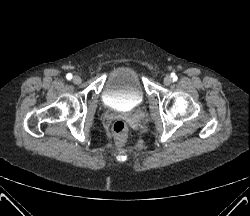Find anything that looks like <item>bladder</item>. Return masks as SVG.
Here are the masks:
<instances>
[{
	"label": "bladder",
	"mask_w": 250,
	"mask_h": 216,
	"mask_svg": "<svg viewBox=\"0 0 250 216\" xmlns=\"http://www.w3.org/2000/svg\"><path fill=\"white\" fill-rule=\"evenodd\" d=\"M145 97L138 72L126 65L117 67L108 76L102 92L104 104L118 110H131L139 106Z\"/></svg>",
	"instance_id": "1"
}]
</instances>
